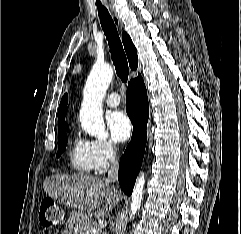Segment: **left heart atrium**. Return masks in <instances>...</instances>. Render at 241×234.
<instances>
[{"instance_id": "obj_1", "label": "left heart atrium", "mask_w": 241, "mask_h": 234, "mask_svg": "<svg viewBox=\"0 0 241 234\" xmlns=\"http://www.w3.org/2000/svg\"><path fill=\"white\" fill-rule=\"evenodd\" d=\"M107 125L112 137L118 142L126 141L132 132V124L122 111H114L107 118Z\"/></svg>"}]
</instances>
